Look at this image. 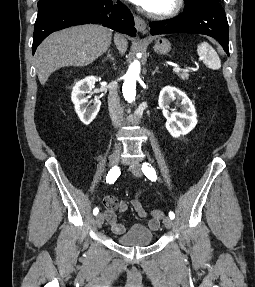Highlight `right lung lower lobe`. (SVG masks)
Instances as JSON below:
<instances>
[{
	"label": "right lung lower lobe",
	"mask_w": 255,
	"mask_h": 287,
	"mask_svg": "<svg viewBox=\"0 0 255 287\" xmlns=\"http://www.w3.org/2000/svg\"><path fill=\"white\" fill-rule=\"evenodd\" d=\"M111 12V14H108ZM102 24L120 33L135 36L134 18L121 2L110 4L103 11L91 7H65L37 16L33 35V54L37 46L52 32L82 24Z\"/></svg>",
	"instance_id": "obj_1"
}]
</instances>
